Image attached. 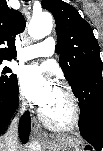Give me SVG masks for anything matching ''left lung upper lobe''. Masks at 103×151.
I'll return each mask as SVG.
<instances>
[{
	"label": "left lung upper lobe",
	"instance_id": "obj_1",
	"mask_svg": "<svg viewBox=\"0 0 103 151\" xmlns=\"http://www.w3.org/2000/svg\"><path fill=\"white\" fill-rule=\"evenodd\" d=\"M42 7L54 16L58 36L55 52L69 84L87 75L90 67H102L98 42L78 11L61 0H42Z\"/></svg>",
	"mask_w": 103,
	"mask_h": 151
}]
</instances>
